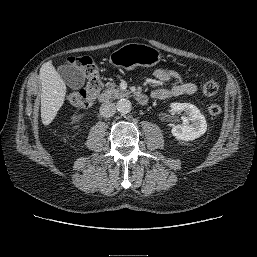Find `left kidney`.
Here are the masks:
<instances>
[{"instance_id": "obj_1", "label": "left kidney", "mask_w": 257, "mask_h": 257, "mask_svg": "<svg viewBox=\"0 0 257 257\" xmlns=\"http://www.w3.org/2000/svg\"><path fill=\"white\" fill-rule=\"evenodd\" d=\"M171 108L176 112L184 111L187 119L190 121L188 124H178L172 128L171 132L175 138L191 141L199 138L206 132V119L195 105L190 103H172Z\"/></svg>"}]
</instances>
